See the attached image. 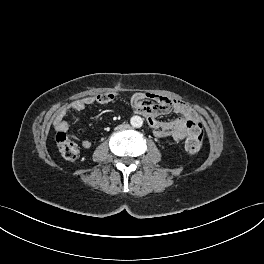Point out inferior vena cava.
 <instances>
[{"mask_svg":"<svg viewBox=\"0 0 264 264\" xmlns=\"http://www.w3.org/2000/svg\"><path fill=\"white\" fill-rule=\"evenodd\" d=\"M131 124L130 123H120L118 125L115 126L116 130H123V129H127L130 128Z\"/></svg>","mask_w":264,"mask_h":264,"instance_id":"inferior-vena-cava-1","label":"inferior vena cava"}]
</instances>
